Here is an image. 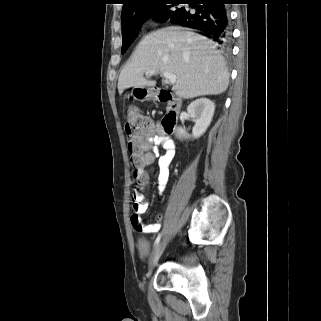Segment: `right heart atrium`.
I'll use <instances>...</instances> for the list:
<instances>
[{
  "mask_svg": "<svg viewBox=\"0 0 321 321\" xmlns=\"http://www.w3.org/2000/svg\"><path fill=\"white\" fill-rule=\"evenodd\" d=\"M151 22H152V18H148L147 23H151Z\"/></svg>",
  "mask_w": 321,
  "mask_h": 321,
  "instance_id": "d8ad5b80",
  "label": "right heart atrium"
}]
</instances>
